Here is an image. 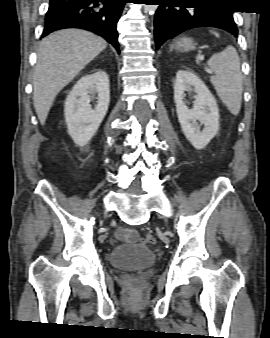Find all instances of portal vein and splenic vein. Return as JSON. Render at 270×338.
I'll return each instance as SVG.
<instances>
[{"label": "portal vein and splenic vein", "instance_id": "18ae733b", "mask_svg": "<svg viewBox=\"0 0 270 338\" xmlns=\"http://www.w3.org/2000/svg\"><path fill=\"white\" fill-rule=\"evenodd\" d=\"M199 60H200V61L204 60V55H200V56H199Z\"/></svg>", "mask_w": 270, "mask_h": 338}]
</instances>
